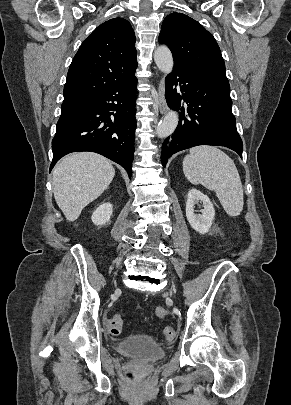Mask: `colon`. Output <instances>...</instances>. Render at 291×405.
I'll list each match as a JSON object with an SVG mask.
<instances>
[{
  "label": "colon",
  "instance_id": "colon-1",
  "mask_svg": "<svg viewBox=\"0 0 291 405\" xmlns=\"http://www.w3.org/2000/svg\"><path fill=\"white\" fill-rule=\"evenodd\" d=\"M156 314L158 317L163 318L168 315V312L163 307H157ZM122 325L123 318L120 314H115L114 316H112L107 323L109 332L114 336H117L121 333ZM163 336L167 341H173L176 338V330L171 326H167L163 329ZM126 377L129 380H136L139 378V373L134 370H129L126 372Z\"/></svg>",
  "mask_w": 291,
  "mask_h": 405
}]
</instances>
